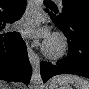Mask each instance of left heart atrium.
Listing matches in <instances>:
<instances>
[{
  "instance_id": "1",
  "label": "left heart atrium",
  "mask_w": 89,
  "mask_h": 89,
  "mask_svg": "<svg viewBox=\"0 0 89 89\" xmlns=\"http://www.w3.org/2000/svg\"><path fill=\"white\" fill-rule=\"evenodd\" d=\"M18 27L24 33L29 35L45 36L47 34V32L40 27V19L36 11L27 12L19 21Z\"/></svg>"
}]
</instances>
